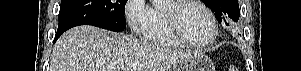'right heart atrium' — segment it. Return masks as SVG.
<instances>
[{"label": "right heart atrium", "instance_id": "obj_1", "mask_svg": "<svg viewBox=\"0 0 301 71\" xmlns=\"http://www.w3.org/2000/svg\"><path fill=\"white\" fill-rule=\"evenodd\" d=\"M151 7L145 0H129L125 7L127 23L135 34H142L150 20Z\"/></svg>", "mask_w": 301, "mask_h": 71}]
</instances>
